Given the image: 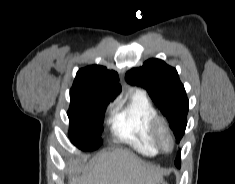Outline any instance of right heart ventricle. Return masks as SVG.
Returning <instances> with one entry per match:
<instances>
[{"label": "right heart ventricle", "instance_id": "1", "mask_svg": "<svg viewBox=\"0 0 235 184\" xmlns=\"http://www.w3.org/2000/svg\"><path fill=\"white\" fill-rule=\"evenodd\" d=\"M156 117L152 102L144 94L136 93L126 104L113 110V134L134 150L144 155H155L158 150L152 139L151 125ZM112 157L122 161L127 158V153L117 151Z\"/></svg>", "mask_w": 235, "mask_h": 184}]
</instances>
